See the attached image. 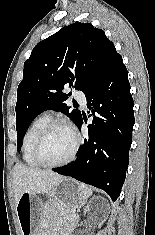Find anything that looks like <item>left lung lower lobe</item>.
Returning a JSON list of instances; mask_svg holds the SVG:
<instances>
[{
	"instance_id": "left-lung-lower-lobe-1",
	"label": "left lung lower lobe",
	"mask_w": 155,
	"mask_h": 235,
	"mask_svg": "<svg viewBox=\"0 0 155 235\" xmlns=\"http://www.w3.org/2000/svg\"><path fill=\"white\" fill-rule=\"evenodd\" d=\"M128 72L118 57L104 78L85 96L93 116L88 135L72 163L53 171L107 192L116 201L129 164L135 123ZM83 119L77 123L81 129Z\"/></svg>"
}]
</instances>
